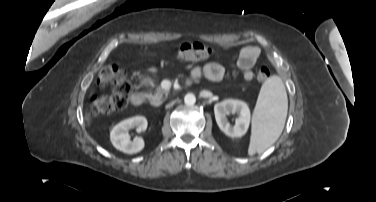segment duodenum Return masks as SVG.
<instances>
[{
    "label": "duodenum",
    "instance_id": "410a0bca",
    "mask_svg": "<svg viewBox=\"0 0 376 202\" xmlns=\"http://www.w3.org/2000/svg\"><path fill=\"white\" fill-rule=\"evenodd\" d=\"M130 101H131V104L133 106H140L144 101V96H143L142 92H140V91L134 92L131 95Z\"/></svg>",
    "mask_w": 376,
    "mask_h": 202
}]
</instances>
